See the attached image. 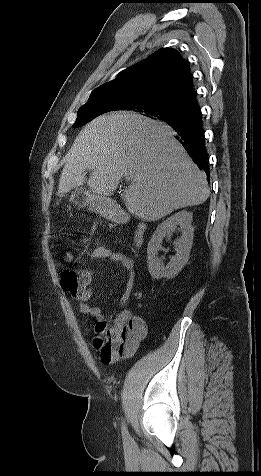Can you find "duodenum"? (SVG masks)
Wrapping results in <instances>:
<instances>
[{
	"label": "duodenum",
	"instance_id": "duodenum-1",
	"mask_svg": "<svg viewBox=\"0 0 261 476\" xmlns=\"http://www.w3.org/2000/svg\"><path fill=\"white\" fill-rule=\"evenodd\" d=\"M114 218L118 222H123L125 220V216L122 215L121 213H117L114 215ZM144 225L140 224L136 230L135 237H134V246L138 247L143 240V233H144Z\"/></svg>",
	"mask_w": 261,
	"mask_h": 476
}]
</instances>
